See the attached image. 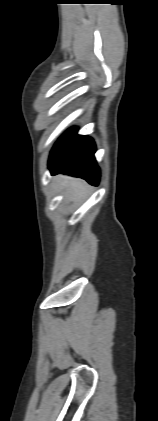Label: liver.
I'll return each instance as SVG.
<instances>
[{
    "mask_svg": "<svg viewBox=\"0 0 158 421\" xmlns=\"http://www.w3.org/2000/svg\"><path fill=\"white\" fill-rule=\"evenodd\" d=\"M60 182L62 188H66L67 192H70L73 197L80 198L81 195L84 193L85 185L84 182L79 179H73L61 176Z\"/></svg>",
    "mask_w": 158,
    "mask_h": 421,
    "instance_id": "6515ba94",
    "label": "liver"
}]
</instances>
